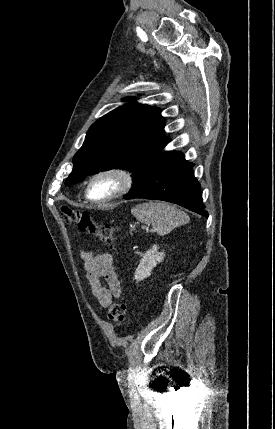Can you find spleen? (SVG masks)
I'll return each instance as SVG.
<instances>
[{"label": "spleen", "mask_w": 275, "mask_h": 429, "mask_svg": "<svg viewBox=\"0 0 275 429\" xmlns=\"http://www.w3.org/2000/svg\"><path fill=\"white\" fill-rule=\"evenodd\" d=\"M131 213L138 221L152 224L155 232L161 236L189 222V217L185 212L164 202L138 204L131 209Z\"/></svg>", "instance_id": "spleen-1"}]
</instances>
